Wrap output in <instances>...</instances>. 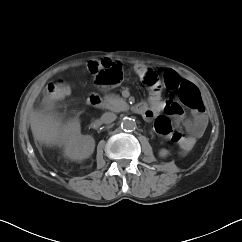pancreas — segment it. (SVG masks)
<instances>
[{
    "instance_id": "pancreas-1",
    "label": "pancreas",
    "mask_w": 242,
    "mask_h": 242,
    "mask_svg": "<svg viewBox=\"0 0 242 242\" xmlns=\"http://www.w3.org/2000/svg\"><path fill=\"white\" fill-rule=\"evenodd\" d=\"M105 107L114 112H121L128 109L126 101L119 95L109 94L104 96Z\"/></svg>"
}]
</instances>
